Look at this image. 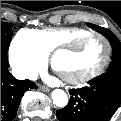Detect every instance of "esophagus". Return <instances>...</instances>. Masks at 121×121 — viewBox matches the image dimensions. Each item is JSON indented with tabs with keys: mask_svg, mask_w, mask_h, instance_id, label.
<instances>
[{
	"mask_svg": "<svg viewBox=\"0 0 121 121\" xmlns=\"http://www.w3.org/2000/svg\"><path fill=\"white\" fill-rule=\"evenodd\" d=\"M38 88H39V90H41V91H43V92H49V91H50L49 88H47V87H45V86H42V85H38Z\"/></svg>",
	"mask_w": 121,
	"mask_h": 121,
	"instance_id": "1",
	"label": "esophagus"
}]
</instances>
